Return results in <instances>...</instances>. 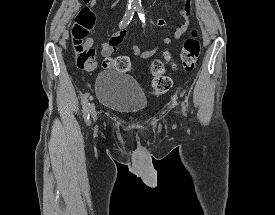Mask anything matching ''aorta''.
I'll use <instances>...</instances> for the list:
<instances>
[{
    "mask_svg": "<svg viewBox=\"0 0 275 215\" xmlns=\"http://www.w3.org/2000/svg\"><path fill=\"white\" fill-rule=\"evenodd\" d=\"M133 6H137L141 3V0H129Z\"/></svg>",
    "mask_w": 275,
    "mask_h": 215,
    "instance_id": "aorta-1",
    "label": "aorta"
}]
</instances>
